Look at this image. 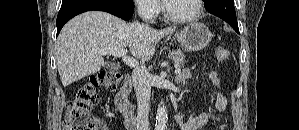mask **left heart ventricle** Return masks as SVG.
Returning a JSON list of instances; mask_svg holds the SVG:
<instances>
[{
    "label": "left heart ventricle",
    "instance_id": "left-heart-ventricle-1",
    "mask_svg": "<svg viewBox=\"0 0 299 130\" xmlns=\"http://www.w3.org/2000/svg\"><path fill=\"white\" fill-rule=\"evenodd\" d=\"M195 8V0H172L168 2V10L173 16L189 15L195 11Z\"/></svg>",
    "mask_w": 299,
    "mask_h": 130
}]
</instances>
